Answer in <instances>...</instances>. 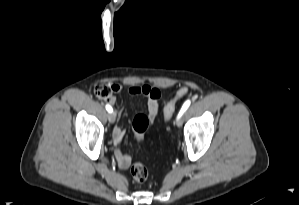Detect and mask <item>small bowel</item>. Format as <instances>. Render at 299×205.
Returning a JSON list of instances; mask_svg holds the SVG:
<instances>
[{"instance_id": "obj_1", "label": "small bowel", "mask_w": 299, "mask_h": 205, "mask_svg": "<svg viewBox=\"0 0 299 205\" xmlns=\"http://www.w3.org/2000/svg\"><path fill=\"white\" fill-rule=\"evenodd\" d=\"M115 91H119L121 86L118 84L113 85ZM131 95H143L147 98L146 116L149 122H152L157 116L160 109L161 92L157 87L149 85L131 86L128 90ZM125 131L122 127L118 126L113 131V141L115 144L114 156L118 166L121 169H127L132 163V158L125 154L122 150V141Z\"/></svg>"}]
</instances>
